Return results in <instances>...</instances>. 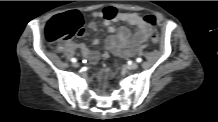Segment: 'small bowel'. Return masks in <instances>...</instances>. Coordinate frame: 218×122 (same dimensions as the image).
<instances>
[{"label": "small bowel", "mask_w": 218, "mask_h": 122, "mask_svg": "<svg viewBox=\"0 0 218 122\" xmlns=\"http://www.w3.org/2000/svg\"><path fill=\"white\" fill-rule=\"evenodd\" d=\"M113 8V9H108ZM114 7H106L103 10L96 11L92 14L94 18H103L104 25L108 32L112 33L106 39V53L109 52L121 55L131 56L136 50L145 42L154 32L153 26L149 25L144 18L135 12H118L114 10ZM117 22H123L128 26L135 28V33L131 35L130 30L127 27H121L116 30L114 24ZM91 30L97 29L95 21L89 23ZM98 40H94V44H97ZM66 47L77 48L82 55L92 64L96 63L99 59L100 53L97 49H91L84 43H61L58 45L59 49Z\"/></svg>", "instance_id": "small-bowel-1"}]
</instances>
